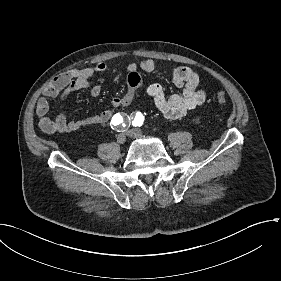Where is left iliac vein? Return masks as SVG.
<instances>
[{
    "instance_id": "obj_1",
    "label": "left iliac vein",
    "mask_w": 281,
    "mask_h": 281,
    "mask_svg": "<svg viewBox=\"0 0 281 281\" xmlns=\"http://www.w3.org/2000/svg\"><path fill=\"white\" fill-rule=\"evenodd\" d=\"M127 135L131 138H140L143 136V132L139 129H130L127 131Z\"/></svg>"
}]
</instances>
